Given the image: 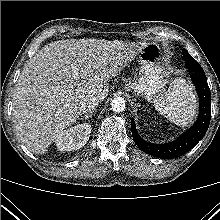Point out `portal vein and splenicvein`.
<instances>
[{
  "label": "portal vein and splenic vein",
  "instance_id": "obj_1",
  "mask_svg": "<svg viewBox=\"0 0 220 220\" xmlns=\"http://www.w3.org/2000/svg\"><path fill=\"white\" fill-rule=\"evenodd\" d=\"M72 70H73L72 77L74 79H78L79 78V69L76 67H73Z\"/></svg>",
  "mask_w": 220,
  "mask_h": 220
}]
</instances>
